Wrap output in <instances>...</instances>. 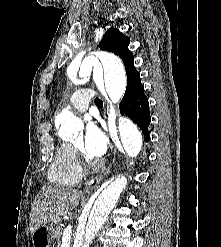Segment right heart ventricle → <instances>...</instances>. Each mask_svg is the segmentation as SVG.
<instances>
[{"mask_svg":"<svg viewBox=\"0 0 221 247\" xmlns=\"http://www.w3.org/2000/svg\"><path fill=\"white\" fill-rule=\"evenodd\" d=\"M48 178L60 186H73L80 182L82 169L71 144L62 142L58 145L48 170Z\"/></svg>","mask_w":221,"mask_h":247,"instance_id":"e07e8e85","label":"right heart ventricle"}]
</instances>
